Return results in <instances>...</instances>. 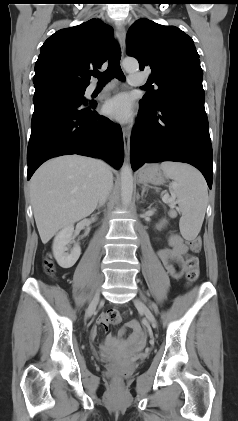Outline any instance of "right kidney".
I'll return each mask as SVG.
<instances>
[{"mask_svg": "<svg viewBox=\"0 0 238 421\" xmlns=\"http://www.w3.org/2000/svg\"><path fill=\"white\" fill-rule=\"evenodd\" d=\"M73 232V225L66 226L55 236L53 241L54 257L59 266L66 269L71 268L81 254V248L78 244H75L69 252V244L72 240Z\"/></svg>", "mask_w": 238, "mask_h": 421, "instance_id": "obj_1", "label": "right kidney"}]
</instances>
